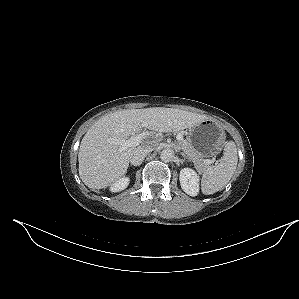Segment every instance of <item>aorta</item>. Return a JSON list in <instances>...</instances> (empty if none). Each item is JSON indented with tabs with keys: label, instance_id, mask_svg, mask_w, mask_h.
I'll return each mask as SVG.
<instances>
[{
	"label": "aorta",
	"instance_id": "obj_1",
	"mask_svg": "<svg viewBox=\"0 0 299 299\" xmlns=\"http://www.w3.org/2000/svg\"><path fill=\"white\" fill-rule=\"evenodd\" d=\"M160 158L164 162H171L174 159V151L170 148L161 151Z\"/></svg>",
	"mask_w": 299,
	"mask_h": 299
}]
</instances>
